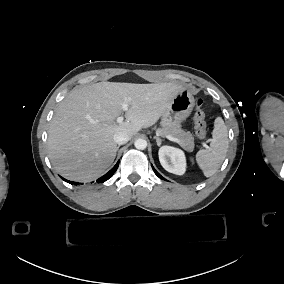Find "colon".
<instances>
[{"label":"colon","instance_id":"colon-1","mask_svg":"<svg viewBox=\"0 0 284 284\" xmlns=\"http://www.w3.org/2000/svg\"><path fill=\"white\" fill-rule=\"evenodd\" d=\"M195 114H194V125H195V132L198 138L205 139L206 137V117L204 111L201 109L202 100L197 99L195 101Z\"/></svg>","mask_w":284,"mask_h":284}]
</instances>
